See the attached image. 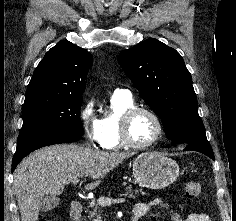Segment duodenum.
<instances>
[{
	"mask_svg": "<svg viewBox=\"0 0 236 221\" xmlns=\"http://www.w3.org/2000/svg\"><path fill=\"white\" fill-rule=\"evenodd\" d=\"M84 207L80 201L74 200L70 205V218L72 221H80ZM131 221H138L137 218L133 217Z\"/></svg>",
	"mask_w": 236,
	"mask_h": 221,
	"instance_id": "obj_1",
	"label": "duodenum"
}]
</instances>
